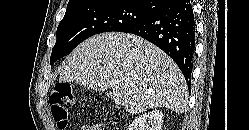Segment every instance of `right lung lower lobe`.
Returning a JSON list of instances; mask_svg holds the SVG:
<instances>
[{
  "mask_svg": "<svg viewBox=\"0 0 249 130\" xmlns=\"http://www.w3.org/2000/svg\"><path fill=\"white\" fill-rule=\"evenodd\" d=\"M120 32L141 36L166 52L190 85L196 34L190 1L172 0L148 19Z\"/></svg>",
  "mask_w": 249,
  "mask_h": 130,
  "instance_id": "98d812e1",
  "label": "right lung lower lobe"
}]
</instances>
